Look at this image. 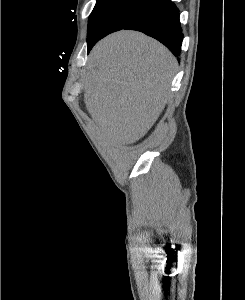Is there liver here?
I'll use <instances>...</instances> for the list:
<instances>
[{"label":"liver","mask_w":245,"mask_h":300,"mask_svg":"<svg viewBox=\"0 0 245 300\" xmlns=\"http://www.w3.org/2000/svg\"><path fill=\"white\" fill-rule=\"evenodd\" d=\"M178 63L158 41L122 30L98 42L89 57L84 100L107 139L134 143L165 108Z\"/></svg>","instance_id":"6515ba94"}]
</instances>
